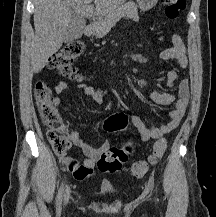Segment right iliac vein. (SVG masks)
<instances>
[{
    "label": "right iliac vein",
    "mask_w": 216,
    "mask_h": 217,
    "mask_svg": "<svg viewBox=\"0 0 216 217\" xmlns=\"http://www.w3.org/2000/svg\"><path fill=\"white\" fill-rule=\"evenodd\" d=\"M68 199H69V190H67V193H66V195H65V197H64V204H65V205L67 204Z\"/></svg>",
    "instance_id": "obj_1"
}]
</instances>
